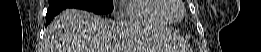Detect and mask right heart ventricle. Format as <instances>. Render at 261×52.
<instances>
[{
    "label": "right heart ventricle",
    "instance_id": "right-heart-ventricle-1",
    "mask_svg": "<svg viewBox=\"0 0 261 52\" xmlns=\"http://www.w3.org/2000/svg\"><path fill=\"white\" fill-rule=\"evenodd\" d=\"M169 0H130L123 9L122 20L141 24H172Z\"/></svg>",
    "mask_w": 261,
    "mask_h": 52
}]
</instances>
